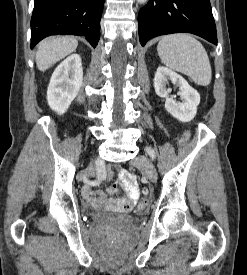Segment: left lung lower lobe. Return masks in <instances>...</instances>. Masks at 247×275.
<instances>
[{"label":"left lung lower lobe","instance_id":"0a47b994","mask_svg":"<svg viewBox=\"0 0 247 275\" xmlns=\"http://www.w3.org/2000/svg\"><path fill=\"white\" fill-rule=\"evenodd\" d=\"M142 46L156 36L187 32L217 44L209 0H149L138 15Z\"/></svg>","mask_w":247,"mask_h":275}]
</instances>
